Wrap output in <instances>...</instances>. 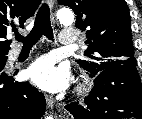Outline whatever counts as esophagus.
<instances>
[{
	"label": "esophagus",
	"instance_id": "34e87169",
	"mask_svg": "<svg viewBox=\"0 0 142 119\" xmlns=\"http://www.w3.org/2000/svg\"><path fill=\"white\" fill-rule=\"evenodd\" d=\"M47 2L49 4L50 8H53L54 0H47ZM46 103H47V106L52 109L54 107V99H53V97L46 95Z\"/></svg>",
	"mask_w": 142,
	"mask_h": 119
}]
</instances>
